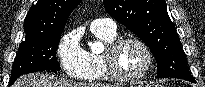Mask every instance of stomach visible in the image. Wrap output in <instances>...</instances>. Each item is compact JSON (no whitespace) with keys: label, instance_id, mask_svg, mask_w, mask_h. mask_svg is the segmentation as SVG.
Segmentation results:
<instances>
[{"label":"stomach","instance_id":"stomach-1","mask_svg":"<svg viewBox=\"0 0 205 87\" xmlns=\"http://www.w3.org/2000/svg\"><path fill=\"white\" fill-rule=\"evenodd\" d=\"M133 87H150L149 85H146L144 83H140V84H136L135 86Z\"/></svg>","mask_w":205,"mask_h":87}]
</instances>
